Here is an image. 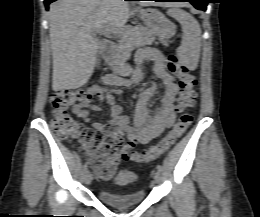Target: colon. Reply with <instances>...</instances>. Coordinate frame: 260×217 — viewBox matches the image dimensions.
<instances>
[{
    "label": "colon",
    "instance_id": "5ec220e1",
    "mask_svg": "<svg viewBox=\"0 0 260 217\" xmlns=\"http://www.w3.org/2000/svg\"><path fill=\"white\" fill-rule=\"evenodd\" d=\"M166 66L168 71L179 79L178 110L184 111L192 107L196 98L195 77L189 73L188 67L174 55L168 57ZM91 97L90 92L80 89L53 93L50 97L51 127L60 138L81 145L89 155L88 164L98 176L104 179L112 178L116 168V157L119 155L125 160L135 162H149L156 159L184 134L193 120L191 113L184 112L170 132L143 154L132 150L128 145L118 151L117 144L111 137L101 130L80 124L69 112L71 108L90 102Z\"/></svg>",
    "mask_w": 260,
    "mask_h": 217
}]
</instances>
